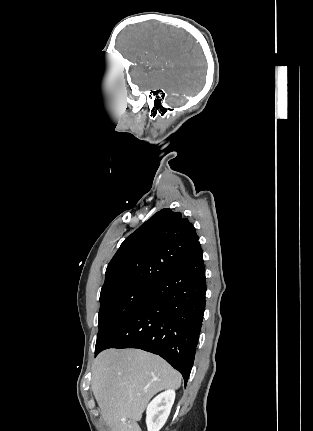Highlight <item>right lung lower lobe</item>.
Wrapping results in <instances>:
<instances>
[{"instance_id": "98d812e1", "label": "right lung lower lobe", "mask_w": 313, "mask_h": 431, "mask_svg": "<svg viewBox=\"0 0 313 431\" xmlns=\"http://www.w3.org/2000/svg\"><path fill=\"white\" fill-rule=\"evenodd\" d=\"M206 279L199 241L109 337L107 348H138L158 354L187 384L205 310Z\"/></svg>"}]
</instances>
